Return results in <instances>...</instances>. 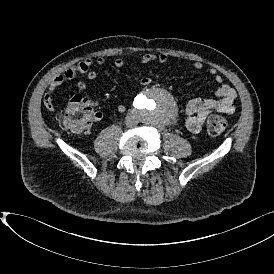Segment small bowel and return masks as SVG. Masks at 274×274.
I'll use <instances>...</instances> for the list:
<instances>
[{
	"label": "small bowel",
	"instance_id": "1",
	"mask_svg": "<svg viewBox=\"0 0 274 274\" xmlns=\"http://www.w3.org/2000/svg\"><path fill=\"white\" fill-rule=\"evenodd\" d=\"M168 59L169 57L166 53H147L141 57V63L150 64L152 62H158L164 64ZM94 64L100 67L105 66L106 59L102 56L97 57L95 60L85 59L76 65L71 66L63 73L56 75L50 81L48 93L44 94L42 97L43 109L46 112H51L55 108L56 103L53 100L52 95L63 83L83 75L89 80H95L98 74L93 69ZM124 65L125 62L122 58H116L113 61V66L117 69L123 68ZM203 67L204 66L201 62L196 61L193 63V68L196 70H201ZM209 74L213 81L218 85V89L215 93L216 98L191 100L186 103L183 108L185 127L192 133H198L202 129L210 114L214 112L231 114L235 110V100L237 97L235 89L224 83L223 77L219 74L216 68H210ZM151 83L152 79L150 77H143L139 80L140 86H148ZM77 86L80 90L88 89V84L80 78L77 81ZM73 102L82 103L88 111L84 123L80 127L73 129L74 132L81 133L89 129L92 125L102 121L103 113L96 109L99 105L98 100L83 99L77 96L73 99ZM117 109L119 112H123L125 111V105L120 104Z\"/></svg>",
	"mask_w": 274,
	"mask_h": 274
}]
</instances>
